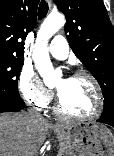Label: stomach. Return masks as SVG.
<instances>
[{"instance_id":"stomach-1","label":"stomach","mask_w":114,"mask_h":156,"mask_svg":"<svg viewBox=\"0 0 114 156\" xmlns=\"http://www.w3.org/2000/svg\"><path fill=\"white\" fill-rule=\"evenodd\" d=\"M54 132L60 145L58 156H114V136L102 124L57 126Z\"/></svg>"}]
</instances>
